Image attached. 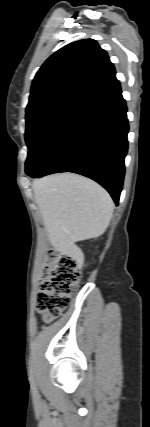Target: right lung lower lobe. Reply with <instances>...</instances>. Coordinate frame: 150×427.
<instances>
[{"instance_id":"obj_1","label":"right lung lower lobe","mask_w":150,"mask_h":427,"mask_svg":"<svg viewBox=\"0 0 150 427\" xmlns=\"http://www.w3.org/2000/svg\"><path fill=\"white\" fill-rule=\"evenodd\" d=\"M126 113L117 83L79 108L29 176L78 173L101 184L118 203L128 149Z\"/></svg>"}]
</instances>
